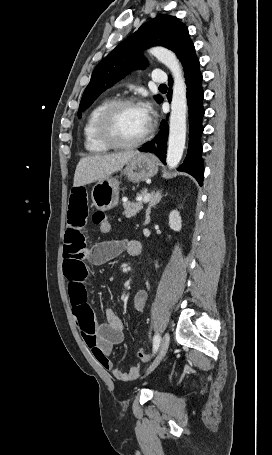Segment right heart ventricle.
I'll use <instances>...</instances> for the list:
<instances>
[{
    "label": "right heart ventricle",
    "mask_w": 272,
    "mask_h": 455,
    "mask_svg": "<svg viewBox=\"0 0 272 455\" xmlns=\"http://www.w3.org/2000/svg\"><path fill=\"white\" fill-rule=\"evenodd\" d=\"M110 99L106 98L96 104L89 112L84 128V146L91 154H103L109 152L112 148L104 144L97 135L96 124L102 110L110 103Z\"/></svg>",
    "instance_id": "right-heart-ventricle-1"
}]
</instances>
